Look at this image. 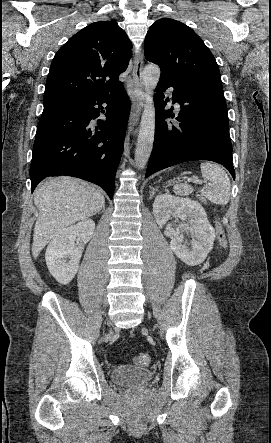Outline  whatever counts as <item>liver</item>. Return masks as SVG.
Returning <instances> with one entry per match:
<instances>
[{
    "label": "liver",
    "mask_w": 271,
    "mask_h": 443,
    "mask_svg": "<svg viewBox=\"0 0 271 443\" xmlns=\"http://www.w3.org/2000/svg\"><path fill=\"white\" fill-rule=\"evenodd\" d=\"M39 216L34 225L32 255L38 257L50 239L66 225L95 216L105 206L101 190L78 178H53L40 184L34 192Z\"/></svg>",
    "instance_id": "obj_1"
}]
</instances>
